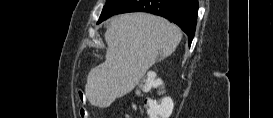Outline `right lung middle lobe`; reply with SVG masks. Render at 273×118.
I'll return each instance as SVG.
<instances>
[{
    "label": "right lung middle lobe",
    "instance_id": "dd1d6c3e",
    "mask_svg": "<svg viewBox=\"0 0 273 118\" xmlns=\"http://www.w3.org/2000/svg\"><path fill=\"white\" fill-rule=\"evenodd\" d=\"M121 0H107L102 13L100 15L98 23H101V21L108 16H110V13L112 12L113 8L120 2Z\"/></svg>",
    "mask_w": 273,
    "mask_h": 118
}]
</instances>
